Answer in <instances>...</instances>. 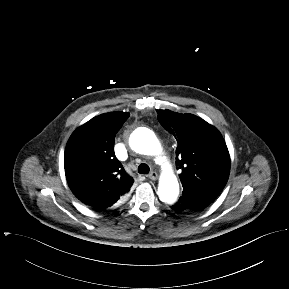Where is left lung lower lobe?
Segmentation results:
<instances>
[{
  "instance_id": "left-lung-lower-lobe-1",
  "label": "left lung lower lobe",
  "mask_w": 289,
  "mask_h": 289,
  "mask_svg": "<svg viewBox=\"0 0 289 289\" xmlns=\"http://www.w3.org/2000/svg\"><path fill=\"white\" fill-rule=\"evenodd\" d=\"M211 202L201 198L181 196L179 201L172 206L177 213L193 214L206 208Z\"/></svg>"
}]
</instances>
